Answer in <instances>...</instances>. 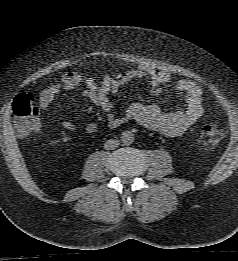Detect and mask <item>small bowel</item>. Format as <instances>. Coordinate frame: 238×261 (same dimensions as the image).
<instances>
[{"instance_id": "c3829d8e", "label": "small bowel", "mask_w": 238, "mask_h": 261, "mask_svg": "<svg viewBox=\"0 0 238 261\" xmlns=\"http://www.w3.org/2000/svg\"><path fill=\"white\" fill-rule=\"evenodd\" d=\"M134 79L148 80L151 92L160 94L163 86L171 80V75L166 71H156L145 65L125 71L115 77L106 75L100 83L86 74L69 73L40 93L39 108L41 111L46 110L60 93L83 85L85 87L83 95L106 113L110 129H116L127 122L134 121L149 130L175 137L183 134L201 118L203 92L197 83L188 79L179 80L175 84L177 93L185 100L184 108L166 112L157 104L133 103L122 115H116L113 111L112 96L122 86ZM62 127L66 131L76 129V125L72 121H64ZM85 131L94 134L98 131V125L90 122L85 125Z\"/></svg>"}]
</instances>
